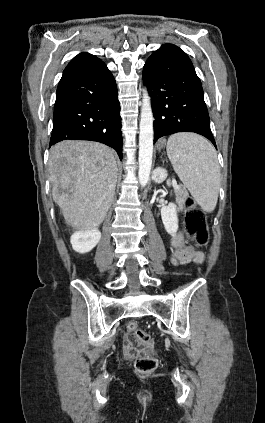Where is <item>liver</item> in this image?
I'll return each instance as SVG.
<instances>
[{
	"label": "liver",
	"mask_w": 265,
	"mask_h": 423,
	"mask_svg": "<svg viewBox=\"0 0 265 423\" xmlns=\"http://www.w3.org/2000/svg\"><path fill=\"white\" fill-rule=\"evenodd\" d=\"M52 195L67 225L97 228L115 194L117 163L112 149L92 141L65 140L50 149Z\"/></svg>",
	"instance_id": "liver-1"
}]
</instances>
